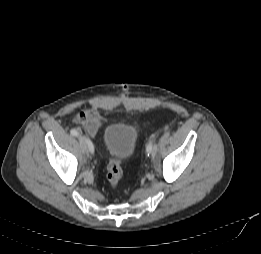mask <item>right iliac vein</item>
Segmentation results:
<instances>
[{
    "label": "right iliac vein",
    "mask_w": 261,
    "mask_h": 254,
    "mask_svg": "<svg viewBox=\"0 0 261 254\" xmlns=\"http://www.w3.org/2000/svg\"><path fill=\"white\" fill-rule=\"evenodd\" d=\"M79 140H80V148H81V150L83 151V152H86L87 151V145H86V143L84 142V140L80 137L79 138Z\"/></svg>",
    "instance_id": "63e3f726"
}]
</instances>
